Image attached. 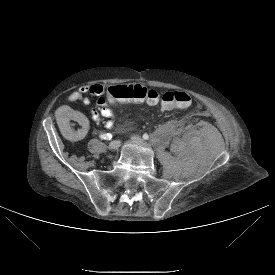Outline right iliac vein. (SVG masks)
<instances>
[{
  "label": "right iliac vein",
  "instance_id": "obj_1",
  "mask_svg": "<svg viewBox=\"0 0 275 275\" xmlns=\"http://www.w3.org/2000/svg\"><path fill=\"white\" fill-rule=\"evenodd\" d=\"M120 147V141L119 140H113L109 143L108 149L110 151H116Z\"/></svg>",
  "mask_w": 275,
  "mask_h": 275
}]
</instances>
